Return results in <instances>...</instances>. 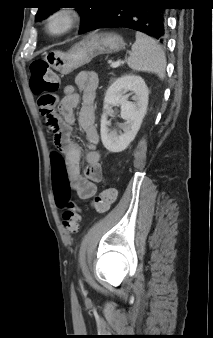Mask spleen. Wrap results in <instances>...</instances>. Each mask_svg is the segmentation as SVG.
I'll use <instances>...</instances> for the list:
<instances>
[{"mask_svg":"<svg viewBox=\"0 0 213 338\" xmlns=\"http://www.w3.org/2000/svg\"><path fill=\"white\" fill-rule=\"evenodd\" d=\"M127 64L134 71L154 73L160 79L165 77V53L153 38L144 33H136V41L132 45V54L128 57Z\"/></svg>","mask_w":213,"mask_h":338,"instance_id":"3e777b00","label":"spleen"}]
</instances>
